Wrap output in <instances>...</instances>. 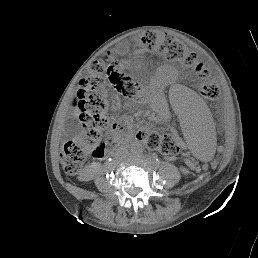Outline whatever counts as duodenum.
<instances>
[{
	"mask_svg": "<svg viewBox=\"0 0 258 258\" xmlns=\"http://www.w3.org/2000/svg\"><path fill=\"white\" fill-rule=\"evenodd\" d=\"M98 154H93V156H97Z\"/></svg>",
	"mask_w": 258,
	"mask_h": 258,
	"instance_id": "410a0bca",
	"label": "duodenum"
}]
</instances>
